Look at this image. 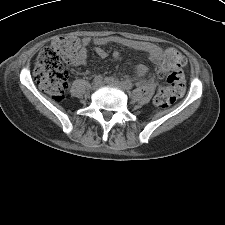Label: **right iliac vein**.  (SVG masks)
Listing matches in <instances>:
<instances>
[{
  "label": "right iliac vein",
  "instance_id": "1",
  "mask_svg": "<svg viewBox=\"0 0 225 225\" xmlns=\"http://www.w3.org/2000/svg\"><path fill=\"white\" fill-rule=\"evenodd\" d=\"M101 86V82H94L93 89L96 90Z\"/></svg>",
  "mask_w": 225,
  "mask_h": 225
}]
</instances>
